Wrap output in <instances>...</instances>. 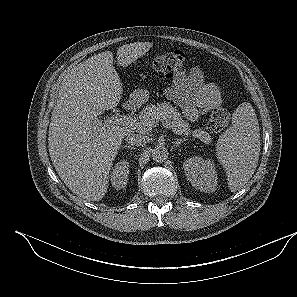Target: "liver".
I'll list each match as a JSON object with an SVG mask.
<instances>
[{"label":"liver","instance_id":"6515ba94","mask_svg":"<svg viewBox=\"0 0 297 297\" xmlns=\"http://www.w3.org/2000/svg\"><path fill=\"white\" fill-rule=\"evenodd\" d=\"M152 46L150 42L123 45L117 50V60L128 66ZM122 93L111 51L79 63L61 83L49 126V153L61 180L87 201H100L105 196L122 140L133 133L130 127L102 124L97 118L115 108Z\"/></svg>","mask_w":297,"mask_h":297}]
</instances>
